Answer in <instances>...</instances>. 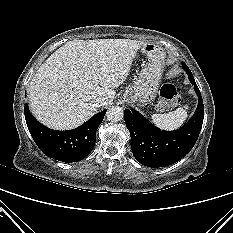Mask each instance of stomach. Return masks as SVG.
I'll return each mask as SVG.
<instances>
[{
  "mask_svg": "<svg viewBox=\"0 0 233 233\" xmlns=\"http://www.w3.org/2000/svg\"><path fill=\"white\" fill-rule=\"evenodd\" d=\"M141 51L149 62L134 85L127 87L122 96L124 100L139 106L146 105L156 97L166 56L164 50L154 43H144Z\"/></svg>",
  "mask_w": 233,
  "mask_h": 233,
  "instance_id": "0dacf381",
  "label": "stomach"
}]
</instances>
